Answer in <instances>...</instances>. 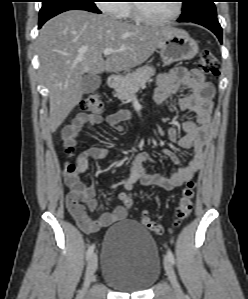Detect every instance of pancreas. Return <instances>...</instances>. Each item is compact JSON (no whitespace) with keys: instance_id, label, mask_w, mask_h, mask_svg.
I'll return each instance as SVG.
<instances>
[{"instance_id":"pancreas-1","label":"pancreas","mask_w":248,"mask_h":299,"mask_svg":"<svg viewBox=\"0 0 248 299\" xmlns=\"http://www.w3.org/2000/svg\"><path fill=\"white\" fill-rule=\"evenodd\" d=\"M154 73L152 67L145 65L133 73L127 74L120 79V83L115 89V96L120 100L130 99L141 87L145 86Z\"/></svg>"}]
</instances>
